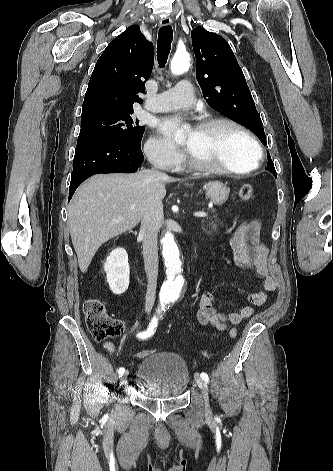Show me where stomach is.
<instances>
[{
    "mask_svg": "<svg viewBox=\"0 0 333 471\" xmlns=\"http://www.w3.org/2000/svg\"><path fill=\"white\" fill-rule=\"evenodd\" d=\"M206 195L216 205L224 204L229 196L230 189L219 181L209 182L205 185Z\"/></svg>",
    "mask_w": 333,
    "mask_h": 471,
    "instance_id": "stomach-1",
    "label": "stomach"
}]
</instances>
